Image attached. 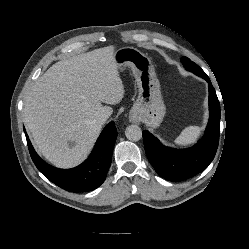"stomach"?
Listing matches in <instances>:
<instances>
[{
	"label": "stomach",
	"instance_id": "stomach-1",
	"mask_svg": "<svg viewBox=\"0 0 249 249\" xmlns=\"http://www.w3.org/2000/svg\"><path fill=\"white\" fill-rule=\"evenodd\" d=\"M113 58L118 70L131 68L139 88L138 98L130 111L131 119L140 120L154 128L158 127L164 118L166 108L150 58L133 47L117 49Z\"/></svg>",
	"mask_w": 249,
	"mask_h": 249
}]
</instances>
